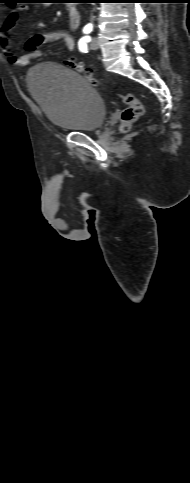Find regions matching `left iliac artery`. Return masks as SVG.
I'll return each mask as SVG.
<instances>
[{
	"instance_id": "44dca946",
	"label": "left iliac artery",
	"mask_w": 190,
	"mask_h": 483,
	"mask_svg": "<svg viewBox=\"0 0 190 483\" xmlns=\"http://www.w3.org/2000/svg\"><path fill=\"white\" fill-rule=\"evenodd\" d=\"M91 41L90 36L82 37L78 42V48L81 52H87V43Z\"/></svg>"
}]
</instances>
